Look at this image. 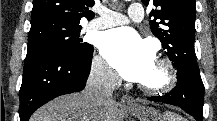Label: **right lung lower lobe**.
<instances>
[{
	"mask_svg": "<svg viewBox=\"0 0 217 121\" xmlns=\"http://www.w3.org/2000/svg\"><path fill=\"white\" fill-rule=\"evenodd\" d=\"M92 50L82 58L57 53L26 56L19 91L20 121H28L43 104L60 95L81 91L90 73Z\"/></svg>",
	"mask_w": 217,
	"mask_h": 121,
	"instance_id": "obj_1",
	"label": "right lung lower lobe"
}]
</instances>
